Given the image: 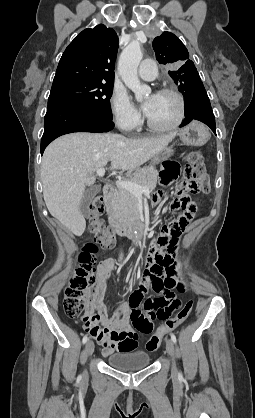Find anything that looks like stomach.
<instances>
[{"label": "stomach", "mask_w": 255, "mask_h": 418, "mask_svg": "<svg viewBox=\"0 0 255 418\" xmlns=\"http://www.w3.org/2000/svg\"><path fill=\"white\" fill-rule=\"evenodd\" d=\"M179 137L184 144L201 146L207 142L209 138V132L203 124L199 122H192L190 125L180 130ZM172 153V148H165L163 151L154 156L151 164L155 165L163 162L164 160L168 159Z\"/></svg>", "instance_id": "1"}]
</instances>
